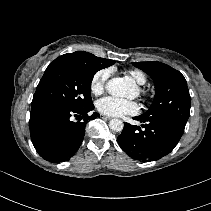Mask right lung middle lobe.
Returning a JSON list of instances; mask_svg holds the SVG:
<instances>
[{
	"label": "right lung middle lobe",
	"mask_w": 211,
	"mask_h": 211,
	"mask_svg": "<svg viewBox=\"0 0 211 211\" xmlns=\"http://www.w3.org/2000/svg\"><path fill=\"white\" fill-rule=\"evenodd\" d=\"M99 62L60 56L49 64L33 96L31 109L79 110L92 104L90 87Z\"/></svg>",
	"instance_id": "dd1d6c3e"
}]
</instances>
